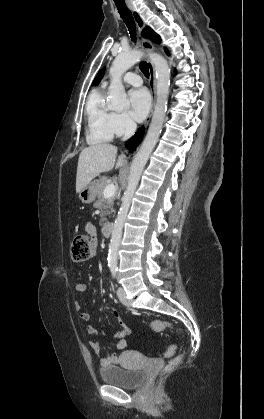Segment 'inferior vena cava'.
<instances>
[{
	"label": "inferior vena cava",
	"instance_id": "602c4592",
	"mask_svg": "<svg viewBox=\"0 0 264 419\" xmlns=\"http://www.w3.org/2000/svg\"><path fill=\"white\" fill-rule=\"evenodd\" d=\"M137 125L133 120H128L125 125V133L122 138L123 141L128 140L136 131Z\"/></svg>",
	"mask_w": 264,
	"mask_h": 419
}]
</instances>
